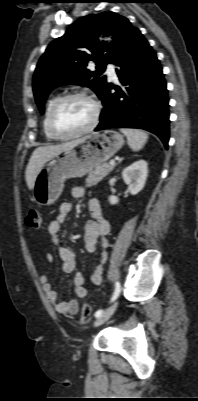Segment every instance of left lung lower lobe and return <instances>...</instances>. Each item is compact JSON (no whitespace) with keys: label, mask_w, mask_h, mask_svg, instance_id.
Returning a JSON list of instances; mask_svg holds the SVG:
<instances>
[{"label":"left lung lower lobe","mask_w":198,"mask_h":401,"mask_svg":"<svg viewBox=\"0 0 198 401\" xmlns=\"http://www.w3.org/2000/svg\"><path fill=\"white\" fill-rule=\"evenodd\" d=\"M114 64L122 87L106 84L103 111L95 131L141 128L156 134L168 148L169 112L166 82L155 51L136 29Z\"/></svg>","instance_id":"0a47b994"}]
</instances>
